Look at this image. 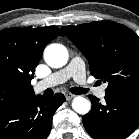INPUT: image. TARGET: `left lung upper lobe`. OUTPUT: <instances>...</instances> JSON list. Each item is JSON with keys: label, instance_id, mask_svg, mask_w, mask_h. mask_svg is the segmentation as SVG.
Returning a JSON list of instances; mask_svg holds the SVG:
<instances>
[{"label": "left lung upper lobe", "instance_id": "left-lung-upper-lobe-1", "mask_svg": "<svg viewBox=\"0 0 139 139\" xmlns=\"http://www.w3.org/2000/svg\"><path fill=\"white\" fill-rule=\"evenodd\" d=\"M62 30L88 59L90 73L108 83L107 96L139 87V37L134 31L113 21Z\"/></svg>", "mask_w": 139, "mask_h": 139}]
</instances>
